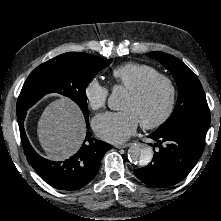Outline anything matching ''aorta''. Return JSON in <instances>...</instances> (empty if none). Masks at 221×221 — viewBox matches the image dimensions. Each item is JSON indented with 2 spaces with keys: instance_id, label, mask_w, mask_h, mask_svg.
Here are the masks:
<instances>
[{
  "instance_id": "1",
  "label": "aorta",
  "mask_w": 221,
  "mask_h": 221,
  "mask_svg": "<svg viewBox=\"0 0 221 221\" xmlns=\"http://www.w3.org/2000/svg\"><path fill=\"white\" fill-rule=\"evenodd\" d=\"M124 96V90L116 88L112 91L108 98V107L112 110H117ZM153 158V150L150 146L144 144H133L128 149L129 161L138 166H147Z\"/></svg>"
}]
</instances>
